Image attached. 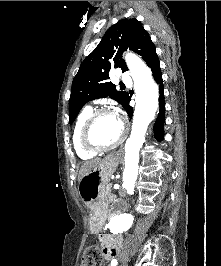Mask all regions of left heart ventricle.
<instances>
[{
    "label": "left heart ventricle",
    "instance_id": "obj_1",
    "mask_svg": "<svg viewBox=\"0 0 221 266\" xmlns=\"http://www.w3.org/2000/svg\"><path fill=\"white\" fill-rule=\"evenodd\" d=\"M122 132L121 121L112 113L99 116L92 129V140L98 144H110L118 139Z\"/></svg>",
    "mask_w": 221,
    "mask_h": 266
}]
</instances>
